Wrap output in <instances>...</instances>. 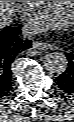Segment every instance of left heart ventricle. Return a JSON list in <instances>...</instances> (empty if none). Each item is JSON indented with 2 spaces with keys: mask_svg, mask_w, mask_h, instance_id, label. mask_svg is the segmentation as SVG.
Returning a JSON list of instances; mask_svg holds the SVG:
<instances>
[{
  "mask_svg": "<svg viewBox=\"0 0 74 122\" xmlns=\"http://www.w3.org/2000/svg\"><path fill=\"white\" fill-rule=\"evenodd\" d=\"M49 8L56 16L67 19L71 15L73 1H50Z\"/></svg>",
  "mask_w": 74,
  "mask_h": 122,
  "instance_id": "1",
  "label": "left heart ventricle"
}]
</instances>
